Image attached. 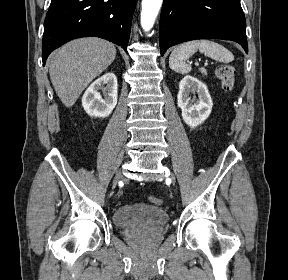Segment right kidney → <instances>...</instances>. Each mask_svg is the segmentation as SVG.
Wrapping results in <instances>:
<instances>
[{
    "label": "right kidney",
    "mask_w": 288,
    "mask_h": 280,
    "mask_svg": "<svg viewBox=\"0 0 288 280\" xmlns=\"http://www.w3.org/2000/svg\"><path fill=\"white\" fill-rule=\"evenodd\" d=\"M99 90L103 91V96ZM117 97V77L114 73H106L85 91L82 106L88 115L105 118L115 108Z\"/></svg>",
    "instance_id": "ca27d5eb"
}]
</instances>
